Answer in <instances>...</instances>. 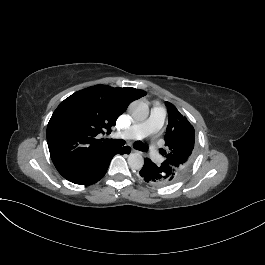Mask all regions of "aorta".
Here are the masks:
<instances>
[{"label": "aorta", "mask_w": 265, "mask_h": 265, "mask_svg": "<svg viewBox=\"0 0 265 265\" xmlns=\"http://www.w3.org/2000/svg\"><path fill=\"white\" fill-rule=\"evenodd\" d=\"M129 112L135 121H144L149 115V108L142 101H134L129 105ZM128 164L133 170H140L144 165V159L140 153H131L128 156Z\"/></svg>", "instance_id": "obj_1"}]
</instances>
